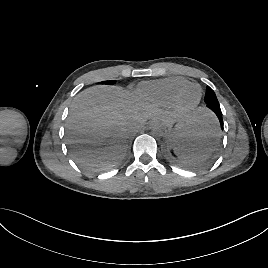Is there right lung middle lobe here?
I'll return each mask as SVG.
<instances>
[{"label": "right lung middle lobe", "mask_w": 268, "mask_h": 268, "mask_svg": "<svg viewBox=\"0 0 268 268\" xmlns=\"http://www.w3.org/2000/svg\"><path fill=\"white\" fill-rule=\"evenodd\" d=\"M115 83H116V81H103V82H101V84H108V85H113Z\"/></svg>", "instance_id": "1"}]
</instances>
